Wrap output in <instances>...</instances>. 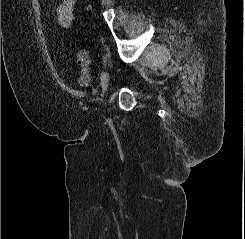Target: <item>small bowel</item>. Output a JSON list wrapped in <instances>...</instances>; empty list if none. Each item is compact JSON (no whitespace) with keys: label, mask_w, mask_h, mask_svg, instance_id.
Segmentation results:
<instances>
[{"label":"small bowel","mask_w":245,"mask_h":239,"mask_svg":"<svg viewBox=\"0 0 245 239\" xmlns=\"http://www.w3.org/2000/svg\"><path fill=\"white\" fill-rule=\"evenodd\" d=\"M76 0H61L57 7V19L64 28H70L76 18Z\"/></svg>","instance_id":"small-bowel-1"}]
</instances>
